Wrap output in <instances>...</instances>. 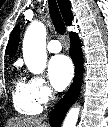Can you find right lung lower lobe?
Returning a JSON list of instances; mask_svg holds the SVG:
<instances>
[{"mask_svg": "<svg viewBox=\"0 0 108 127\" xmlns=\"http://www.w3.org/2000/svg\"><path fill=\"white\" fill-rule=\"evenodd\" d=\"M71 40V46L69 53L76 66V74L73 80V85L65 94L63 99L55 106L51 113L50 121L53 127H59L65 117L70 106L76 101L81 87L82 71H83V58L81 50V42L76 33L71 32L69 34Z\"/></svg>", "mask_w": 108, "mask_h": 127, "instance_id": "obj_1", "label": "right lung lower lobe"}]
</instances>
